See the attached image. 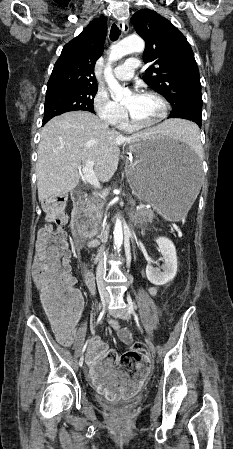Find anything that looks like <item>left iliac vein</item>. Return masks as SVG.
Returning <instances> with one entry per match:
<instances>
[{"instance_id": "left-iliac-vein-1", "label": "left iliac vein", "mask_w": 233, "mask_h": 449, "mask_svg": "<svg viewBox=\"0 0 233 449\" xmlns=\"http://www.w3.org/2000/svg\"><path fill=\"white\" fill-rule=\"evenodd\" d=\"M129 307H130V306H129ZM121 317H122V319L127 320V321H129V320L132 319L131 314H130V312H129L128 310H125V311L123 312V314H122ZM147 343H148V345H149L150 352H151L153 355H155V354H156V348H155L154 344H153L152 341L149 340V339L147 340Z\"/></svg>"}]
</instances>
